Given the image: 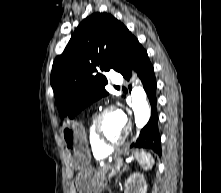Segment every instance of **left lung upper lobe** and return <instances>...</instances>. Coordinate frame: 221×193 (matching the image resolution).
<instances>
[{"instance_id":"1","label":"left lung upper lobe","mask_w":221,"mask_h":193,"mask_svg":"<svg viewBox=\"0 0 221 193\" xmlns=\"http://www.w3.org/2000/svg\"><path fill=\"white\" fill-rule=\"evenodd\" d=\"M138 40L114 16L94 13L73 33L52 67L51 85L61 116L74 118L84 107L107 96L103 72H120Z\"/></svg>"}]
</instances>
